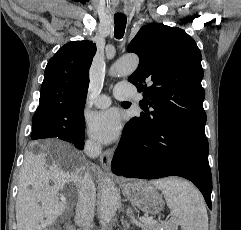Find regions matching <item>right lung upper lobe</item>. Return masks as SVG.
I'll return each mask as SVG.
<instances>
[{
    "label": "right lung upper lobe",
    "instance_id": "1",
    "mask_svg": "<svg viewBox=\"0 0 241 230\" xmlns=\"http://www.w3.org/2000/svg\"><path fill=\"white\" fill-rule=\"evenodd\" d=\"M95 53L96 44L87 40L69 42L58 50L46 66L36 114L85 106Z\"/></svg>",
    "mask_w": 241,
    "mask_h": 230
}]
</instances>
